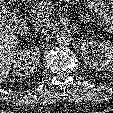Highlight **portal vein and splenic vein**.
I'll list each match as a JSON object with an SVG mask.
<instances>
[{
  "label": "portal vein and splenic vein",
  "mask_w": 113,
  "mask_h": 113,
  "mask_svg": "<svg viewBox=\"0 0 113 113\" xmlns=\"http://www.w3.org/2000/svg\"><path fill=\"white\" fill-rule=\"evenodd\" d=\"M51 12H52V9H51V8H48V9L46 10V13H48V14H51Z\"/></svg>",
  "instance_id": "18ae733b"
}]
</instances>
